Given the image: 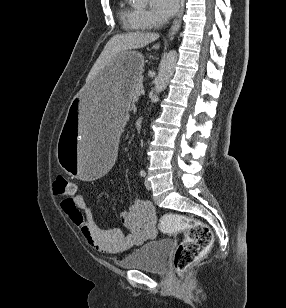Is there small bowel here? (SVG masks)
<instances>
[{"instance_id": "small-bowel-1", "label": "small bowel", "mask_w": 286, "mask_h": 308, "mask_svg": "<svg viewBox=\"0 0 286 308\" xmlns=\"http://www.w3.org/2000/svg\"><path fill=\"white\" fill-rule=\"evenodd\" d=\"M61 207L85 241L104 253L124 252L156 236V212L148 200L137 198L120 213L119 218L127 234L119 228L101 229L97 226L82 193L67 196L62 200Z\"/></svg>"}]
</instances>
